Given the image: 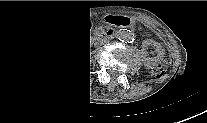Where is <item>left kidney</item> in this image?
Returning <instances> with one entry per match:
<instances>
[{
    "instance_id": "obj_1",
    "label": "left kidney",
    "mask_w": 207,
    "mask_h": 123,
    "mask_svg": "<svg viewBox=\"0 0 207 123\" xmlns=\"http://www.w3.org/2000/svg\"><path fill=\"white\" fill-rule=\"evenodd\" d=\"M154 46L156 47V50L157 51H160L161 50V45L159 44V43H155L154 44ZM164 55V53L162 52L161 53V55H159L158 57H157V59L156 58H144V65L147 67V68H151L152 67V65H155L156 64V62L159 60V59H161V57Z\"/></svg>"
}]
</instances>
